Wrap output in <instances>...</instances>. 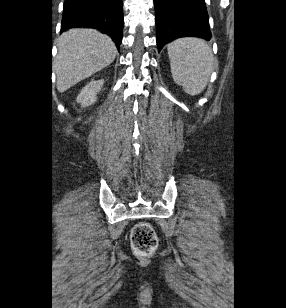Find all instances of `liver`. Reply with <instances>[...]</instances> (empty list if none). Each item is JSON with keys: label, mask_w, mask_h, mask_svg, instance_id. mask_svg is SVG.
<instances>
[{"label": "liver", "mask_w": 286, "mask_h": 308, "mask_svg": "<svg viewBox=\"0 0 286 308\" xmlns=\"http://www.w3.org/2000/svg\"><path fill=\"white\" fill-rule=\"evenodd\" d=\"M54 69L57 90L64 92L110 65L117 54L114 42L92 29H71L58 40Z\"/></svg>", "instance_id": "6515ba94"}]
</instances>
